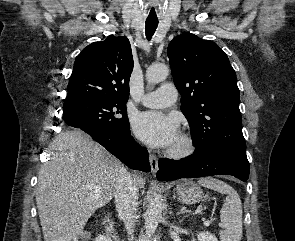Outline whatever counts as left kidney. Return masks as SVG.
<instances>
[{"instance_id": "5707ae66", "label": "left kidney", "mask_w": 295, "mask_h": 241, "mask_svg": "<svg viewBox=\"0 0 295 241\" xmlns=\"http://www.w3.org/2000/svg\"><path fill=\"white\" fill-rule=\"evenodd\" d=\"M197 237L199 241H218L215 235L210 232H199Z\"/></svg>"}]
</instances>
